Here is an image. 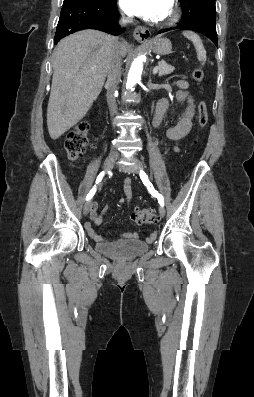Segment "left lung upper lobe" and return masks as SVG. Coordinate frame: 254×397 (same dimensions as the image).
Segmentation results:
<instances>
[{
  "label": "left lung upper lobe",
  "mask_w": 254,
  "mask_h": 397,
  "mask_svg": "<svg viewBox=\"0 0 254 397\" xmlns=\"http://www.w3.org/2000/svg\"><path fill=\"white\" fill-rule=\"evenodd\" d=\"M180 2H184L185 0H179Z\"/></svg>",
  "instance_id": "left-lung-upper-lobe-1"
}]
</instances>
